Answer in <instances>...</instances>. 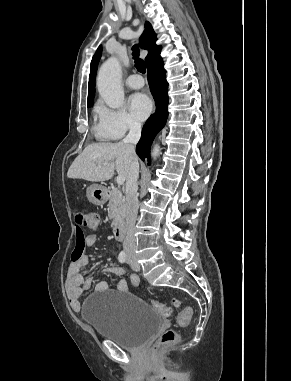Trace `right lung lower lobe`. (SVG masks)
<instances>
[{
    "label": "right lung lower lobe",
    "mask_w": 291,
    "mask_h": 381,
    "mask_svg": "<svg viewBox=\"0 0 291 381\" xmlns=\"http://www.w3.org/2000/svg\"><path fill=\"white\" fill-rule=\"evenodd\" d=\"M148 83L156 104V112L152 114L142 129L141 139L136 153L150 164V145L156 134L165 126L168 118V83L162 58L147 67Z\"/></svg>",
    "instance_id": "right-lung-lower-lobe-1"
}]
</instances>
